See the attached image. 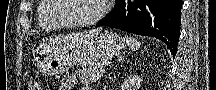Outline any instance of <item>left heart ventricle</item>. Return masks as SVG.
Wrapping results in <instances>:
<instances>
[{
	"instance_id": "1",
	"label": "left heart ventricle",
	"mask_w": 216,
	"mask_h": 90,
	"mask_svg": "<svg viewBox=\"0 0 216 90\" xmlns=\"http://www.w3.org/2000/svg\"><path fill=\"white\" fill-rule=\"evenodd\" d=\"M70 10L63 13L64 17L73 22L85 21L94 17L100 11L102 3L99 0H65Z\"/></svg>"
}]
</instances>
